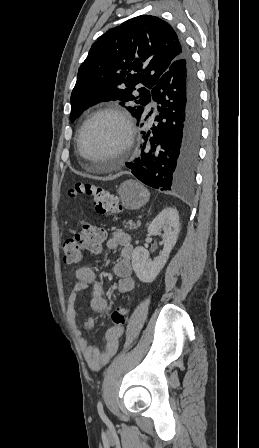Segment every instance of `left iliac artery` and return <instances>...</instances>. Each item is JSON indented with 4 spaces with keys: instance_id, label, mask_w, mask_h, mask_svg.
Instances as JSON below:
<instances>
[{
    "instance_id": "44dca946",
    "label": "left iliac artery",
    "mask_w": 259,
    "mask_h": 448,
    "mask_svg": "<svg viewBox=\"0 0 259 448\" xmlns=\"http://www.w3.org/2000/svg\"><path fill=\"white\" fill-rule=\"evenodd\" d=\"M97 408H98V413H99V415L101 416V418H102L106 423H108L109 420H108V418L106 417V415L104 414V411H103V405H102V402H101V401L98 402V404H97Z\"/></svg>"
}]
</instances>
